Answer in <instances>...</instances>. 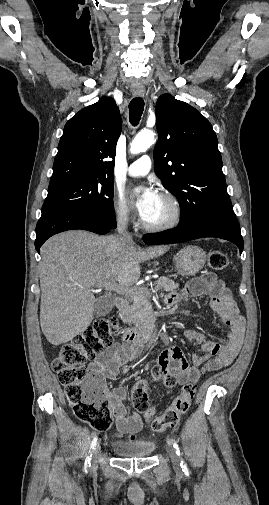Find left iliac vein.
<instances>
[{"instance_id": "left-iliac-vein-1", "label": "left iliac vein", "mask_w": 269, "mask_h": 505, "mask_svg": "<svg viewBox=\"0 0 269 505\" xmlns=\"http://www.w3.org/2000/svg\"><path fill=\"white\" fill-rule=\"evenodd\" d=\"M167 452L169 454V457L171 458L174 469L176 471H180L181 470V465H180L181 463H180V459H179L177 453L175 452V450L173 448H168Z\"/></svg>"}]
</instances>
